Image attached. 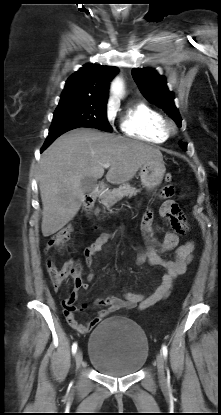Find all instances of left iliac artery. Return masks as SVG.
<instances>
[{
    "mask_svg": "<svg viewBox=\"0 0 221 415\" xmlns=\"http://www.w3.org/2000/svg\"><path fill=\"white\" fill-rule=\"evenodd\" d=\"M162 353H163V356L166 358L167 354H168V350H167V347L165 345L162 347Z\"/></svg>",
    "mask_w": 221,
    "mask_h": 415,
    "instance_id": "1",
    "label": "left iliac artery"
}]
</instances>
